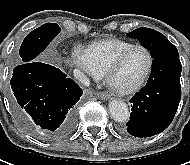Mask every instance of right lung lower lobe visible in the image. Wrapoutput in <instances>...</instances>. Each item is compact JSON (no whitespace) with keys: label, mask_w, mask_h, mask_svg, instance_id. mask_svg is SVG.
Wrapping results in <instances>:
<instances>
[{"label":"right lung lower lobe","mask_w":190,"mask_h":165,"mask_svg":"<svg viewBox=\"0 0 190 165\" xmlns=\"http://www.w3.org/2000/svg\"><path fill=\"white\" fill-rule=\"evenodd\" d=\"M12 105L17 119L31 132L49 139L68 136L75 127L82 89L58 68L31 61L13 69Z\"/></svg>","instance_id":"1"}]
</instances>
